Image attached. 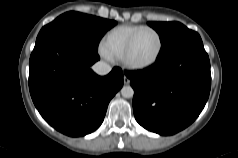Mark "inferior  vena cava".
I'll list each match as a JSON object with an SVG mask.
<instances>
[{"instance_id":"602c4592","label":"inferior vena cava","mask_w":238,"mask_h":158,"mask_svg":"<svg viewBox=\"0 0 238 158\" xmlns=\"http://www.w3.org/2000/svg\"><path fill=\"white\" fill-rule=\"evenodd\" d=\"M92 69L98 75H106L111 71V66L104 61H98L92 66Z\"/></svg>"}]
</instances>
